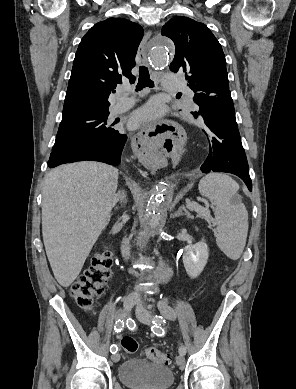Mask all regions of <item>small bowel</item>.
<instances>
[{"mask_svg": "<svg viewBox=\"0 0 296 389\" xmlns=\"http://www.w3.org/2000/svg\"><path fill=\"white\" fill-rule=\"evenodd\" d=\"M159 307L160 309L162 310V312L167 315L169 318H174V314L168 304V301L167 300H164L162 301L160 304H159Z\"/></svg>", "mask_w": 296, "mask_h": 389, "instance_id": "small-bowel-1", "label": "small bowel"}]
</instances>
